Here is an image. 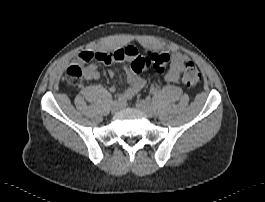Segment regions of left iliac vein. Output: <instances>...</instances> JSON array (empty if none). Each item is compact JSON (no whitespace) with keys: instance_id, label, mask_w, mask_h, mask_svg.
I'll use <instances>...</instances> for the list:
<instances>
[{"instance_id":"left-iliac-vein-1","label":"left iliac vein","mask_w":265,"mask_h":202,"mask_svg":"<svg viewBox=\"0 0 265 202\" xmlns=\"http://www.w3.org/2000/svg\"><path fill=\"white\" fill-rule=\"evenodd\" d=\"M136 108L144 113L147 117H152L154 115L152 105L147 99L139 100L136 103Z\"/></svg>"}]
</instances>
